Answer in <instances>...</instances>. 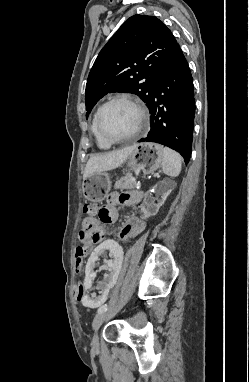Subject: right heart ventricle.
Segmentation results:
<instances>
[{
    "mask_svg": "<svg viewBox=\"0 0 249 382\" xmlns=\"http://www.w3.org/2000/svg\"><path fill=\"white\" fill-rule=\"evenodd\" d=\"M97 111L98 110L95 111V113L93 114V117H92L91 132L94 136V139L96 141L97 146L100 149L107 150L112 146V144L108 143L107 141L102 139V137L99 135V132L97 130V124H96Z\"/></svg>",
    "mask_w": 249,
    "mask_h": 382,
    "instance_id": "e07e8e85",
    "label": "right heart ventricle"
}]
</instances>
